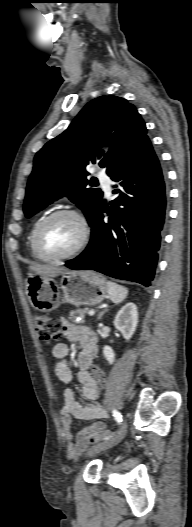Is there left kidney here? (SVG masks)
Masks as SVG:
<instances>
[{"label": "left kidney", "instance_id": "obj_1", "mask_svg": "<svg viewBox=\"0 0 192 527\" xmlns=\"http://www.w3.org/2000/svg\"><path fill=\"white\" fill-rule=\"evenodd\" d=\"M115 328L120 331L126 340H129L134 334L138 324V311L134 303H127L117 313L114 319ZM103 355L109 364L115 359V353L109 346H104Z\"/></svg>", "mask_w": 192, "mask_h": 527}]
</instances>
